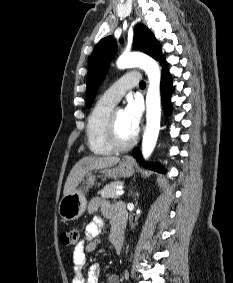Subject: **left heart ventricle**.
I'll return each mask as SVG.
<instances>
[{
  "label": "left heart ventricle",
  "mask_w": 233,
  "mask_h": 283,
  "mask_svg": "<svg viewBox=\"0 0 233 283\" xmlns=\"http://www.w3.org/2000/svg\"><path fill=\"white\" fill-rule=\"evenodd\" d=\"M134 131L128 125L123 110L116 111V136L119 142H127L133 135Z\"/></svg>",
  "instance_id": "b2bd125f"
}]
</instances>
